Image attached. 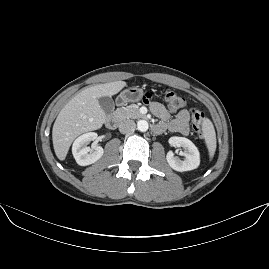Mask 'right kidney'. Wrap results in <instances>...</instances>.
<instances>
[{
  "label": "right kidney",
  "instance_id": "ca27d5eb",
  "mask_svg": "<svg viewBox=\"0 0 269 269\" xmlns=\"http://www.w3.org/2000/svg\"><path fill=\"white\" fill-rule=\"evenodd\" d=\"M98 137L97 133L89 132L79 136L73 143L72 154L80 166H86L95 163L99 160L103 154L104 150L100 146H96L94 151H91L87 144L90 141H94Z\"/></svg>",
  "mask_w": 269,
  "mask_h": 269
}]
</instances>
